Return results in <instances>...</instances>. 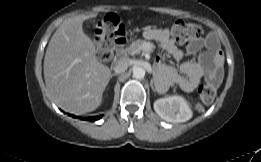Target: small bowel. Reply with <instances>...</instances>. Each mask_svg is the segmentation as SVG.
Segmentation results:
<instances>
[{
    "label": "small bowel",
    "mask_w": 261,
    "mask_h": 162,
    "mask_svg": "<svg viewBox=\"0 0 261 162\" xmlns=\"http://www.w3.org/2000/svg\"><path fill=\"white\" fill-rule=\"evenodd\" d=\"M146 36L158 42L175 59L180 60L183 57V52L171 39L168 29H150L146 32ZM203 47L206 51L200 52ZM188 51L191 54L199 53L198 61L183 63L180 67L182 75L165 65L160 58L156 60L159 72L167 74L171 83L179 85L186 92H192L202 77L218 85L223 77L224 55L217 38L214 35H208L205 39L194 40L188 46Z\"/></svg>",
    "instance_id": "small-bowel-1"
}]
</instances>
